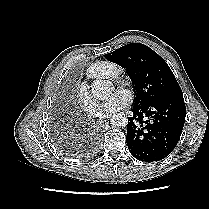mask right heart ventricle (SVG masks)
<instances>
[{
    "mask_svg": "<svg viewBox=\"0 0 209 209\" xmlns=\"http://www.w3.org/2000/svg\"><path fill=\"white\" fill-rule=\"evenodd\" d=\"M119 71L116 63L101 60L92 63L86 70V77L92 80L109 79L115 76Z\"/></svg>",
    "mask_w": 209,
    "mask_h": 209,
    "instance_id": "obj_1",
    "label": "right heart ventricle"
}]
</instances>
